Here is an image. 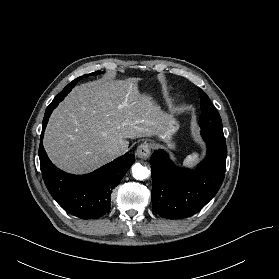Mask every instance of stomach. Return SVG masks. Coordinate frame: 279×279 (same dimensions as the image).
Masks as SVG:
<instances>
[{"instance_id": "obj_1", "label": "stomach", "mask_w": 279, "mask_h": 279, "mask_svg": "<svg viewBox=\"0 0 279 279\" xmlns=\"http://www.w3.org/2000/svg\"><path fill=\"white\" fill-rule=\"evenodd\" d=\"M178 127V122L171 115H166L162 117V128L159 133V137L171 149H174L175 147L174 143L172 142V139L176 131L178 130Z\"/></svg>"}]
</instances>
